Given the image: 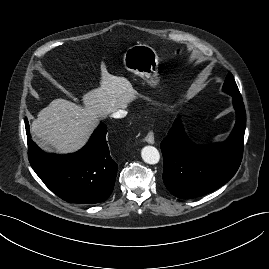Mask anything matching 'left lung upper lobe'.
<instances>
[{
	"label": "left lung upper lobe",
	"instance_id": "obj_1",
	"mask_svg": "<svg viewBox=\"0 0 269 269\" xmlns=\"http://www.w3.org/2000/svg\"><path fill=\"white\" fill-rule=\"evenodd\" d=\"M223 91L228 93L231 96H240L239 89L237 87V84L232 76V74L229 72L226 79L225 83L223 85Z\"/></svg>",
	"mask_w": 269,
	"mask_h": 269
}]
</instances>
